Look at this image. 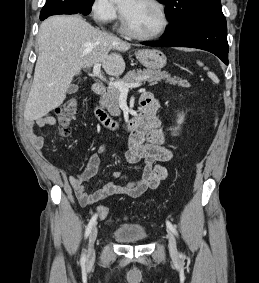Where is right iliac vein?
Here are the masks:
<instances>
[{
  "mask_svg": "<svg viewBox=\"0 0 259 283\" xmlns=\"http://www.w3.org/2000/svg\"><path fill=\"white\" fill-rule=\"evenodd\" d=\"M97 234L98 229L97 227H94L89 236L88 259L90 260L93 259L95 256L94 243L97 238Z\"/></svg>",
  "mask_w": 259,
  "mask_h": 283,
  "instance_id": "63e3f726",
  "label": "right iliac vein"
}]
</instances>
